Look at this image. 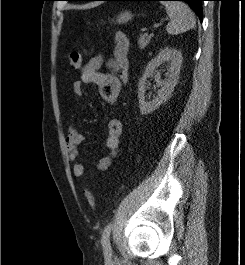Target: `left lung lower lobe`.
<instances>
[{"mask_svg": "<svg viewBox=\"0 0 245 265\" xmlns=\"http://www.w3.org/2000/svg\"><path fill=\"white\" fill-rule=\"evenodd\" d=\"M82 1H100V0H82ZM105 1H161V0H105ZM188 3L202 20V1L204 0H178Z\"/></svg>", "mask_w": 245, "mask_h": 265, "instance_id": "left-lung-lower-lobe-1", "label": "left lung lower lobe"}]
</instances>
